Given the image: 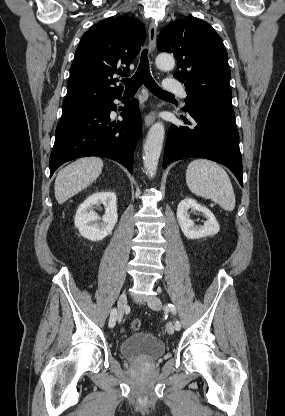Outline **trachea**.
<instances>
[{"label": "trachea", "mask_w": 285, "mask_h": 416, "mask_svg": "<svg viewBox=\"0 0 285 416\" xmlns=\"http://www.w3.org/2000/svg\"><path fill=\"white\" fill-rule=\"evenodd\" d=\"M147 54V49H144L135 75L131 78L123 79L126 92H136L141 85H145L151 93L158 97L174 96L172 93L166 92L160 88L152 78Z\"/></svg>", "instance_id": "trachea-1"}]
</instances>
